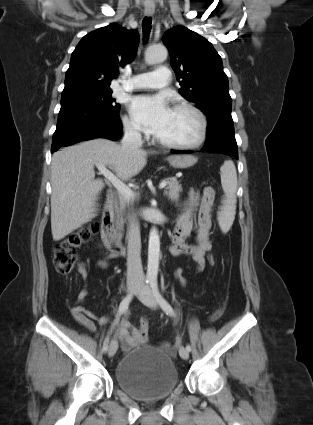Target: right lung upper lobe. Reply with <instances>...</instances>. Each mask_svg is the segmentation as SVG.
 Listing matches in <instances>:
<instances>
[{"mask_svg": "<svg viewBox=\"0 0 313 425\" xmlns=\"http://www.w3.org/2000/svg\"><path fill=\"white\" fill-rule=\"evenodd\" d=\"M139 45L136 30L116 23L85 35L73 51L62 93L82 89L110 88L118 67L132 62Z\"/></svg>", "mask_w": 313, "mask_h": 425, "instance_id": "cb5924a9", "label": "right lung upper lobe"}]
</instances>
